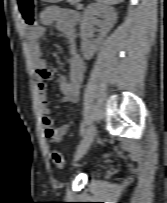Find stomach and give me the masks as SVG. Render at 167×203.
<instances>
[{"label": "stomach", "instance_id": "0dacf381", "mask_svg": "<svg viewBox=\"0 0 167 203\" xmlns=\"http://www.w3.org/2000/svg\"><path fill=\"white\" fill-rule=\"evenodd\" d=\"M43 2H48V3H58L62 2L63 0H42Z\"/></svg>", "mask_w": 167, "mask_h": 203}]
</instances>
